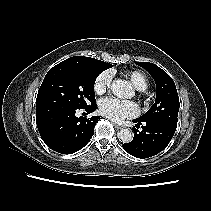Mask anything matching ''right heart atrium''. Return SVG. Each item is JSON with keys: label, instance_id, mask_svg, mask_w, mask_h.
<instances>
[{"label": "right heart atrium", "instance_id": "obj_1", "mask_svg": "<svg viewBox=\"0 0 211 211\" xmlns=\"http://www.w3.org/2000/svg\"><path fill=\"white\" fill-rule=\"evenodd\" d=\"M111 82H112V73L110 71H104L100 73L94 82L95 93L98 95L105 94L109 90Z\"/></svg>", "mask_w": 211, "mask_h": 211}]
</instances>
